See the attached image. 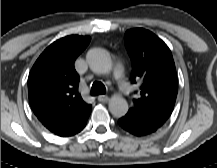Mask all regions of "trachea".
I'll return each mask as SVG.
<instances>
[{
  "label": "trachea",
  "mask_w": 217,
  "mask_h": 168,
  "mask_svg": "<svg viewBox=\"0 0 217 168\" xmlns=\"http://www.w3.org/2000/svg\"><path fill=\"white\" fill-rule=\"evenodd\" d=\"M106 88L103 83L95 81L91 87V95L96 96L100 94H105Z\"/></svg>",
  "instance_id": "1"
}]
</instances>
